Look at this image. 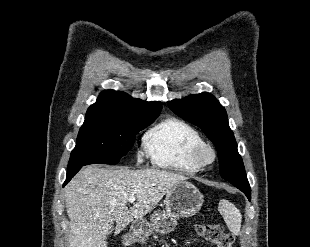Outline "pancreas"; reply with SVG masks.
I'll return each mask as SVG.
<instances>
[{
  "label": "pancreas",
  "mask_w": 310,
  "mask_h": 247,
  "mask_svg": "<svg viewBox=\"0 0 310 247\" xmlns=\"http://www.w3.org/2000/svg\"><path fill=\"white\" fill-rule=\"evenodd\" d=\"M155 239H157L158 240V237L157 236H155ZM164 247V246H163ZM165 247H169L168 245H165Z\"/></svg>",
  "instance_id": "obj_1"
}]
</instances>
